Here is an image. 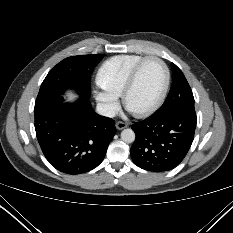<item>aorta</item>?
Segmentation results:
<instances>
[{
    "instance_id": "762f6f07",
    "label": "aorta",
    "mask_w": 233,
    "mask_h": 233,
    "mask_svg": "<svg viewBox=\"0 0 233 233\" xmlns=\"http://www.w3.org/2000/svg\"><path fill=\"white\" fill-rule=\"evenodd\" d=\"M121 139L126 143H132L135 140V133L132 129H124L121 132Z\"/></svg>"
}]
</instances>
